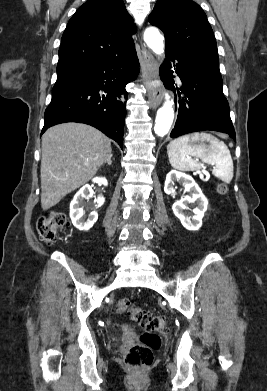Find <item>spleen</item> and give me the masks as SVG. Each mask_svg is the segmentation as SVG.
Wrapping results in <instances>:
<instances>
[{
  "mask_svg": "<svg viewBox=\"0 0 267 391\" xmlns=\"http://www.w3.org/2000/svg\"><path fill=\"white\" fill-rule=\"evenodd\" d=\"M167 154L171 166L177 170L194 171L207 163L213 165V175L223 182L230 183L233 178V160L228 147L209 133L194 132L176 138L168 144ZM195 158H200L202 163Z\"/></svg>",
  "mask_w": 267,
  "mask_h": 391,
  "instance_id": "obj_1",
  "label": "spleen"
}]
</instances>
